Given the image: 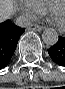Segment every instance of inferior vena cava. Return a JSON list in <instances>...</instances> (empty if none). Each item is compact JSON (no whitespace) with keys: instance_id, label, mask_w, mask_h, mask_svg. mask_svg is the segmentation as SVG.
I'll use <instances>...</instances> for the list:
<instances>
[{"instance_id":"602c4592","label":"inferior vena cava","mask_w":65,"mask_h":89,"mask_svg":"<svg viewBox=\"0 0 65 89\" xmlns=\"http://www.w3.org/2000/svg\"><path fill=\"white\" fill-rule=\"evenodd\" d=\"M15 24L21 28H28L32 25V21L25 16H20L16 19Z\"/></svg>"}]
</instances>
